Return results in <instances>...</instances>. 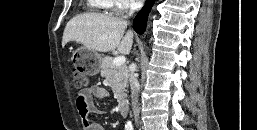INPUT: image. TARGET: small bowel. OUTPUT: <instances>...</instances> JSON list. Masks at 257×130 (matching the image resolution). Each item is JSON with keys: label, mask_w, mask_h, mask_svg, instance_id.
Segmentation results:
<instances>
[{"label": "small bowel", "mask_w": 257, "mask_h": 130, "mask_svg": "<svg viewBox=\"0 0 257 130\" xmlns=\"http://www.w3.org/2000/svg\"><path fill=\"white\" fill-rule=\"evenodd\" d=\"M108 96V91L99 85H92L78 93L76 107L82 119L83 130H105L101 124L90 121L88 117L90 114H102V111L96 107L94 99H104Z\"/></svg>", "instance_id": "1"}]
</instances>
